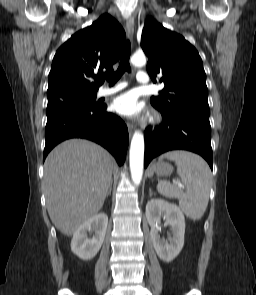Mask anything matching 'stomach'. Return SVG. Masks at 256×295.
Returning a JSON list of instances; mask_svg holds the SVG:
<instances>
[{
	"mask_svg": "<svg viewBox=\"0 0 256 295\" xmlns=\"http://www.w3.org/2000/svg\"><path fill=\"white\" fill-rule=\"evenodd\" d=\"M153 171L159 176H169L173 172V167L164 161H159L153 165Z\"/></svg>",
	"mask_w": 256,
	"mask_h": 295,
	"instance_id": "obj_1",
	"label": "stomach"
}]
</instances>
